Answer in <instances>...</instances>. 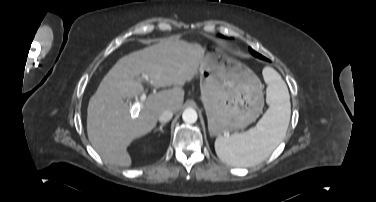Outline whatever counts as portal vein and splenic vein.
I'll use <instances>...</instances> for the list:
<instances>
[{"label":"portal vein and splenic vein","mask_w":376,"mask_h":202,"mask_svg":"<svg viewBox=\"0 0 376 202\" xmlns=\"http://www.w3.org/2000/svg\"><path fill=\"white\" fill-rule=\"evenodd\" d=\"M142 78L145 79V80H148V76H147V75H143ZM145 100H146V94H142V95L140 96V99H139V100L136 99V101L133 103V105H132V110H133L134 112L138 111V110L140 109V107H141V104H142Z\"/></svg>","instance_id":"1"}]
</instances>
